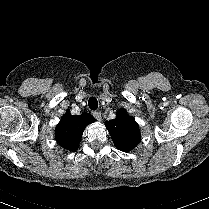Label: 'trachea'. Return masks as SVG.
I'll list each match as a JSON object with an SVG mask.
<instances>
[{"label":"trachea","instance_id":"3493384b","mask_svg":"<svg viewBox=\"0 0 209 209\" xmlns=\"http://www.w3.org/2000/svg\"><path fill=\"white\" fill-rule=\"evenodd\" d=\"M88 106L91 110H96L98 108V101L95 97H91L88 100Z\"/></svg>","mask_w":209,"mask_h":209}]
</instances>
